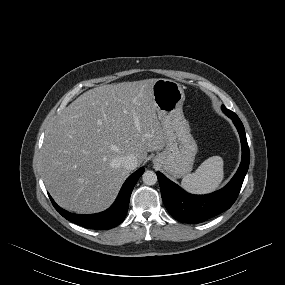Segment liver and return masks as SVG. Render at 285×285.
<instances>
[{
	"label": "liver",
	"instance_id": "6515ba94",
	"mask_svg": "<svg viewBox=\"0 0 285 285\" xmlns=\"http://www.w3.org/2000/svg\"><path fill=\"white\" fill-rule=\"evenodd\" d=\"M157 79L102 85L80 95L46 132L41 155L45 184L58 205L80 214L106 209L130 170L163 149L165 133L152 96Z\"/></svg>",
	"mask_w": 285,
	"mask_h": 285
}]
</instances>
